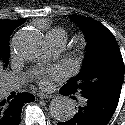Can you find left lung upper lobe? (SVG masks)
<instances>
[{
	"instance_id": "5c2ea615",
	"label": "left lung upper lobe",
	"mask_w": 125,
	"mask_h": 125,
	"mask_svg": "<svg viewBox=\"0 0 125 125\" xmlns=\"http://www.w3.org/2000/svg\"><path fill=\"white\" fill-rule=\"evenodd\" d=\"M70 17L81 27L88 42L80 73L63 88L69 94L78 92L85 99L120 97L124 63L114 35L93 19Z\"/></svg>"
}]
</instances>
